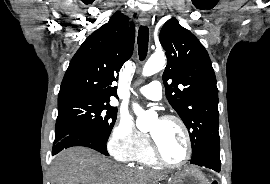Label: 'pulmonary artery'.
Returning a JSON list of instances; mask_svg holds the SVG:
<instances>
[{"label": "pulmonary artery", "instance_id": "1", "mask_svg": "<svg viewBox=\"0 0 270 184\" xmlns=\"http://www.w3.org/2000/svg\"><path fill=\"white\" fill-rule=\"evenodd\" d=\"M138 93L150 100H160L162 96V87L159 81H152L138 89Z\"/></svg>", "mask_w": 270, "mask_h": 184}]
</instances>
